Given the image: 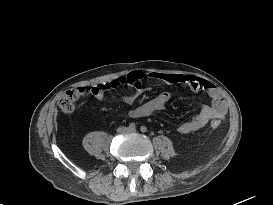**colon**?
<instances>
[{
  "label": "colon",
  "mask_w": 273,
  "mask_h": 205,
  "mask_svg": "<svg viewBox=\"0 0 273 205\" xmlns=\"http://www.w3.org/2000/svg\"><path fill=\"white\" fill-rule=\"evenodd\" d=\"M86 95V91L82 88H75L65 91L59 98L58 105L59 108L65 113L73 112L79 101ZM220 127V122L218 120H213L211 122L212 129H218Z\"/></svg>",
  "instance_id": "1"
}]
</instances>
